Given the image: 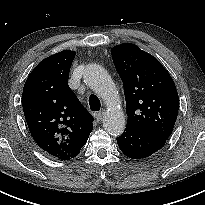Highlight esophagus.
<instances>
[{
  "instance_id": "obj_1",
  "label": "esophagus",
  "mask_w": 205,
  "mask_h": 205,
  "mask_svg": "<svg viewBox=\"0 0 205 205\" xmlns=\"http://www.w3.org/2000/svg\"><path fill=\"white\" fill-rule=\"evenodd\" d=\"M104 114H105V111H104V110L98 111V112L96 113V119H97L98 121L102 120Z\"/></svg>"
}]
</instances>
